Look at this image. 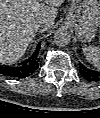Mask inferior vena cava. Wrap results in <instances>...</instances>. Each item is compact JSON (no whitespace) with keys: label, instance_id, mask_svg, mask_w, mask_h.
I'll return each mask as SVG.
<instances>
[{"label":"inferior vena cava","instance_id":"602c4592","mask_svg":"<svg viewBox=\"0 0 100 118\" xmlns=\"http://www.w3.org/2000/svg\"><path fill=\"white\" fill-rule=\"evenodd\" d=\"M32 29L34 32H45L49 27L44 22L38 21L32 25Z\"/></svg>","mask_w":100,"mask_h":118}]
</instances>
